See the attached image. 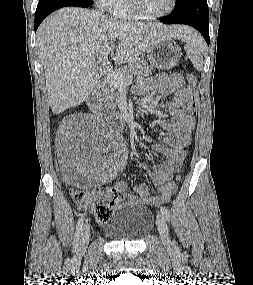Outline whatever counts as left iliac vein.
I'll return each mask as SVG.
<instances>
[{
  "label": "left iliac vein",
  "instance_id": "left-iliac-vein-1",
  "mask_svg": "<svg viewBox=\"0 0 253 285\" xmlns=\"http://www.w3.org/2000/svg\"><path fill=\"white\" fill-rule=\"evenodd\" d=\"M156 223H157L158 231H159V234H160V237H161V240L164 246H166L167 248H170L171 240L169 236L168 226L162 214L157 215Z\"/></svg>",
  "mask_w": 253,
  "mask_h": 285
}]
</instances>
